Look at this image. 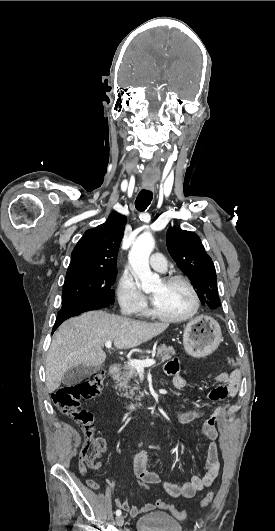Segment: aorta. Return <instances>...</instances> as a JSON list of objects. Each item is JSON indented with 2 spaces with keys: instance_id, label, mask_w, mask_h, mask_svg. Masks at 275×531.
<instances>
[{
  "instance_id": "aorta-1",
  "label": "aorta",
  "mask_w": 275,
  "mask_h": 531,
  "mask_svg": "<svg viewBox=\"0 0 275 531\" xmlns=\"http://www.w3.org/2000/svg\"><path fill=\"white\" fill-rule=\"evenodd\" d=\"M154 247L155 239L152 233H142L133 243L128 255V261L140 281L142 291H153L162 285L159 275L151 273L149 267V257Z\"/></svg>"
}]
</instances>
